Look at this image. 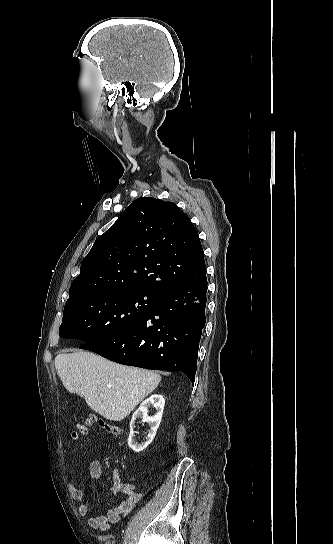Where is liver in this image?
<instances>
[{
  "label": "liver",
  "instance_id": "liver-1",
  "mask_svg": "<svg viewBox=\"0 0 333 544\" xmlns=\"http://www.w3.org/2000/svg\"><path fill=\"white\" fill-rule=\"evenodd\" d=\"M55 367L67 391L83 396L93 411L112 421L127 417L161 381L155 372L87 351L59 354Z\"/></svg>",
  "mask_w": 333,
  "mask_h": 544
}]
</instances>
